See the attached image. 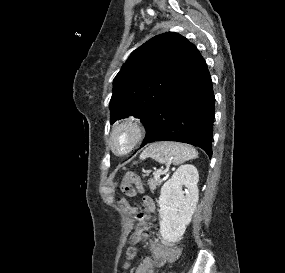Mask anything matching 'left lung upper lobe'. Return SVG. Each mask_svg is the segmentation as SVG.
I'll list each match as a JSON object with an SVG mask.
<instances>
[{
  "instance_id": "obj_1",
  "label": "left lung upper lobe",
  "mask_w": 285,
  "mask_h": 273,
  "mask_svg": "<svg viewBox=\"0 0 285 273\" xmlns=\"http://www.w3.org/2000/svg\"><path fill=\"white\" fill-rule=\"evenodd\" d=\"M191 47L185 37L167 32L134 50L114 78L110 122L129 116L142 121L177 80Z\"/></svg>"
}]
</instances>
